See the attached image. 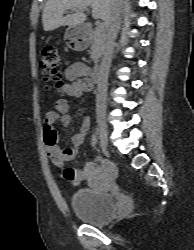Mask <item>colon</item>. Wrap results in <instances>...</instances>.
Here are the masks:
<instances>
[{
  "mask_svg": "<svg viewBox=\"0 0 194 250\" xmlns=\"http://www.w3.org/2000/svg\"><path fill=\"white\" fill-rule=\"evenodd\" d=\"M61 58L54 46L43 48L40 59V67L49 74L50 88L56 93H61L66 84L64 75L60 71Z\"/></svg>",
  "mask_w": 194,
  "mask_h": 250,
  "instance_id": "obj_1",
  "label": "colon"
}]
</instances>
